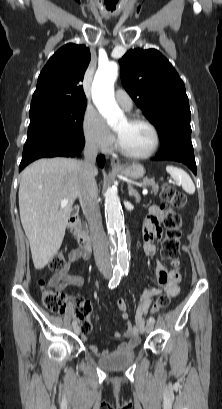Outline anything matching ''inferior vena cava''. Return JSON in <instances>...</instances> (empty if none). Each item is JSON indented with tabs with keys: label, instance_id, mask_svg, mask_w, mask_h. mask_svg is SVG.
Returning a JSON list of instances; mask_svg holds the SVG:
<instances>
[{
	"label": "inferior vena cava",
	"instance_id": "602c4592",
	"mask_svg": "<svg viewBox=\"0 0 222 409\" xmlns=\"http://www.w3.org/2000/svg\"><path fill=\"white\" fill-rule=\"evenodd\" d=\"M98 155V145L87 140L84 147V160L79 171V201L88 221L90 238L94 250L96 265L100 271L112 269L108 244L104 236L100 207L97 201L98 189L95 181V161Z\"/></svg>",
	"mask_w": 222,
	"mask_h": 409
}]
</instances>
